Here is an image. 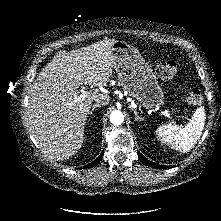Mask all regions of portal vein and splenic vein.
<instances>
[{
  "mask_svg": "<svg viewBox=\"0 0 221 221\" xmlns=\"http://www.w3.org/2000/svg\"><path fill=\"white\" fill-rule=\"evenodd\" d=\"M89 93H90V92L86 91L84 88L81 89V94H80V96H79V97H75V98H74V101H75V102H78V101L83 100ZM164 115H165L166 117H168L170 120H173V117L171 116L170 113L164 112Z\"/></svg>",
  "mask_w": 221,
  "mask_h": 221,
  "instance_id": "portal-vein-and-splenic-vein-1",
  "label": "portal vein and splenic vein"
}]
</instances>
